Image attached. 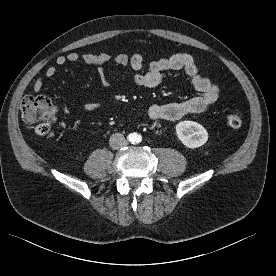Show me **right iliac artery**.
Wrapping results in <instances>:
<instances>
[{"label":"right iliac artery","instance_id":"right-iliac-artery-1","mask_svg":"<svg viewBox=\"0 0 276 276\" xmlns=\"http://www.w3.org/2000/svg\"><path fill=\"white\" fill-rule=\"evenodd\" d=\"M133 139H134L133 134H130V135L128 136V140H129V141H133Z\"/></svg>","mask_w":276,"mask_h":276}]
</instances>
